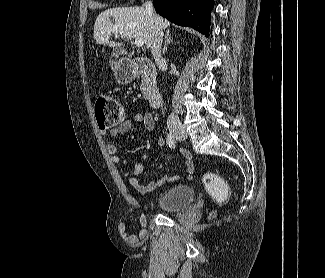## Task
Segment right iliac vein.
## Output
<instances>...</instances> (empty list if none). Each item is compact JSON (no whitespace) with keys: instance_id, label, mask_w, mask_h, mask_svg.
<instances>
[{"instance_id":"right-iliac-vein-1","label":"right iliac vein","mask_w":325,"mask_h":278,"mask_svg":"<svg viewBox=\"0 0 325 278\" xmlns=\"http://www.w3.org/2000/svg\"><path fill=\"white\" fill-rule=\"evenodd\" d=\"M171 133L177 139H184L187 136L186 131L181 127H178V128L172 127Z\"/></svg>"}]
</instances>
